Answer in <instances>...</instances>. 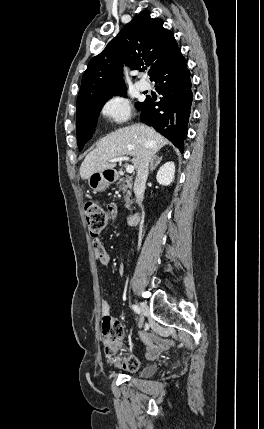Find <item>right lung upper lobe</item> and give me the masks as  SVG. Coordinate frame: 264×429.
<instances>
[{"label": "right lung upper lobe", "mask_w": 264, "mask_h": 429, "mask_svg": "<svg viewBox=\"0 0 264 429\" xmlns=\"http://www.w3.org/2000/svg\"><path fill=\"white\" fill-rule=\"evenodd\" d=\"M178 50L174 34L163 28V20L142 11L90 60L82 77L77 107L126 89L122 78L124 63L132 69L145 64L151 78Z\"/></svg>", "instance_id": "right-lung-upper-lobe-1"}]
</instances>
